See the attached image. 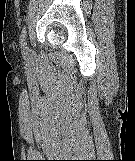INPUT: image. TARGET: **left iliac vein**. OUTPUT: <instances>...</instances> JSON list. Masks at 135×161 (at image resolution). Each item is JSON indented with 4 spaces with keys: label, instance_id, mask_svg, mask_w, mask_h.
<instances>
[{
    "label": "left iliac vein",
    "instance_id": "1",
    "mask_svg": "<svg viewBox=\"0 0 135 161\" xmlns=\"http://www.w3.org/2000/svg\"><path fill=\"white\" fill-rule=\"evenodd\" d=\"M28 52H29V50H28V48H27V55H28Z\"/></svg>",
    "mask_w": 135,
    "mask_h": 161
}]
</instances>
